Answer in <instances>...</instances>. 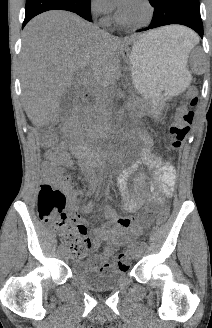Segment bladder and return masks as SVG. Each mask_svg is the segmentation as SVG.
Instances as JSON below:
<instances>
[{"label":"bladder","mask_w":212,"mask_h":328,"mask_svg":"<svg viewBox=\"0 0 212 328\" xmlns=\"http://www.w3.org/2000/svg\"><path fill=\"white\" fill-rule=\"evenodd\" d=\"M73 276L86 288L94 291H106L122 285L127 279L125 270H112L100 273L91 268L90 261L76 259L72 263Z\"/></svg>","instance_id":"obj_1"}]
</instances>
